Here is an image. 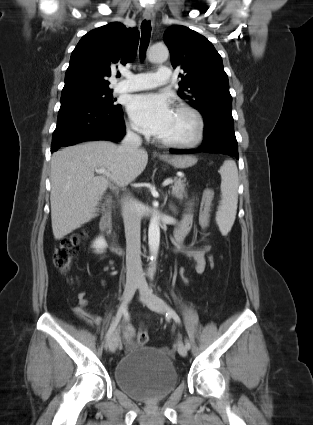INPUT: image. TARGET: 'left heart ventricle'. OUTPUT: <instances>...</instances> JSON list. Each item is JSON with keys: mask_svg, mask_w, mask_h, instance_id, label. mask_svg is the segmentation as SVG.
Segmentation results:
<instances>
[{"mask_svg": "<svg viewBox=\"0 0 313 425\" xmlns=\"http://www.w3.org/2000/svg\"><path fill=\"white\" fill-rule=\"evenodd\" d=\"M196 131L195 121L186 113L174 111L166 131L160 139L171 141H185L191 139Z\"/></svg>", "mask_w": 313, "mask_h": 425, "instance_id": "left-heart-ventricle-1", "label": "left heart ventricle"}]
</instances>
